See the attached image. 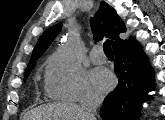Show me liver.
I'll return each mask as SVG.
<instances>
[{
	"mask_svg": "<svg viewBox=\"0 0 165 120\" xmlns=\"http://www.w3.org/2000/svg\"><path fill=\"white\" fill-rule=\"evenodd\" d=\"M82 107L75 103L59 102L31 110L24 120H81Z\"/></svg>",
	"mask_w": 165,
	"mask_h": 120,
	"instance_id": "6515ba94",
	"label": "liver"
}]
</instances>
